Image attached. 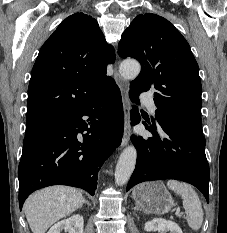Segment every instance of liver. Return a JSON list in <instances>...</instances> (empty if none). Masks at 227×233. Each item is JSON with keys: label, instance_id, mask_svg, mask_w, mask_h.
Listing matches in <instances>:
<instances>
[{"label": "liver", "instance_id": "1", "mask_svg": "<svg viewBox=\"0 0 227 233\" xmlns=\"http://www.w3.org/2000/svg\"><path fill=\"white\" fill-rule=\"evenodd\" d=\"M82 193L67 186H52L33 193L24 204V212L33 233H45L53 224L81 208Z\"/></svg>", "mask_w": 227, "mask_h": 233}]
</instances>
